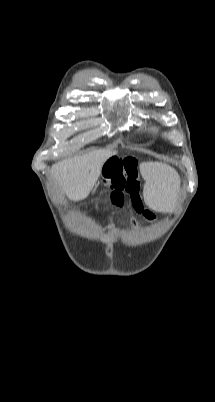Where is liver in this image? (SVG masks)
<instances>
[{
    "label": "liver",
    "mask_w": 215,
    "mask_h": 402,
    "mask_svg": "<svg viewBox=\"0 0 215 402\" xmlns=\"http://www.w3.org/2000/svg\"><path fill=\"white\" fill-rule=\"evenodd\" d=\"M117 152L98 150L54 164L50 175L70 200L85 199L101 175L104 163Z\"/></svg>",
    "instance_id": "liver-1"
}]
</instances>
